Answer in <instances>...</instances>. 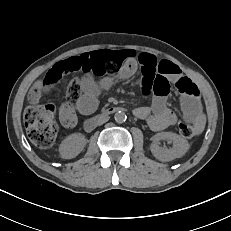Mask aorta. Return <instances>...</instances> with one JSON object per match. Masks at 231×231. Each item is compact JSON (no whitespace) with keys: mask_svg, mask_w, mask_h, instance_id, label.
<instances>
[{"mask_svg":"<svg viewBox=\"0 0 231 231\" xmlns=\"http://www.w3.org/2000/svg\"><path fill=\"white\" fill-rule=\"evenodd\" d=\"M126 118H127V116H126V114H125L123 111H118V112H116L115 115H114V119H115V121L118 122V123H123V122H125V121H126Z\"/></svg>","mask_w":231,"mask_h":231,"instance_id":"aorta-1","label":"aorta"}]
</instances>
